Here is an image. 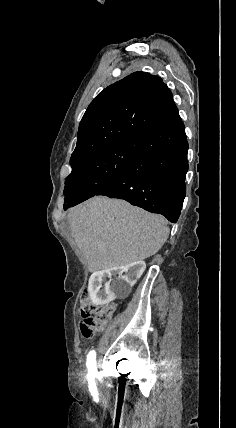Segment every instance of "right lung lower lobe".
Wrapping results in <instances>:
<instances>
[{
  "instance_id": "1",
  "label": "right lung lower lobe",
  "mask_w": 236,
  "mask_h": 428,
  "mask_svg": "<svg viewBox=\"0 0 236 428\" xmlns=\"http://www.w3.org/2000/svg\"><path fill=\"white\" fill-rule=\"evenodd\" d=\"M137 140V154L96 195L124 199L177 222L185 198L188 170V143L178 111Z\"/></svg>"
}]
</instances>
